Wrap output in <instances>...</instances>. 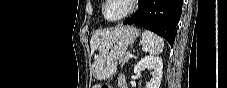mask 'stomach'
Listing matches in <instances>:
<instances>
[{
  "label": "stomach",
  "mask_w": 227,
  "mask_h": 88,
  "mask_svg": "<svg viewBox=\"0 0 227 88\" xmlns=\"http://www.w3.org/2000/svg\"><path fill=\"white\" fill-rule=\"evenodd\" d=\"M138 37L133 26H118L99 45V54L93 63L94 76L99 80L109 78L116 69V62L125 55L126 49Z\"/></svg>",
  "instance_id": "stomach-1"
}]
</instances>
